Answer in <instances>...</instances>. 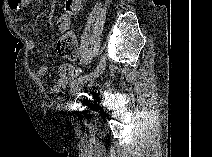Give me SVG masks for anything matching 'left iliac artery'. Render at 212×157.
<instances>
[{"mask_svg": "<svg viewBox=\"0 0 212 157\" xmlns=\"http://www.w3.org/2000/svg\"><path fill=\"white\" fill-rule=\"evenodd\" d=\"M105 66H106V56H105V54H102L100 56L99 63L96 66L95 70L90 72V73H86L84 75H81L78 78L74 79L71 83V86L73 87L76 84L87 82V81H89V80H91L95 77H98L103 72Z\"/></svg>", "mask_w": 212, "mask_h": 157, "instance_id": "left-iliac-artery-1", "label": "left iliac artery"}]
</instances>
